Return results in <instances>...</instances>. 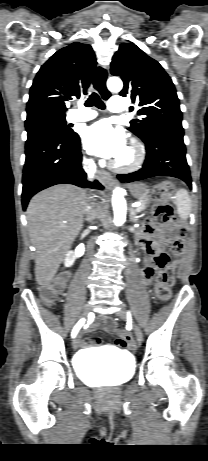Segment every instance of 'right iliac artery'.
<instances>
[{
	"label": "right iliac artery",
	"instance_id": "82829eb1",
	"mask_svg": "<svg viewBox=\"0 0 208 461\" xmlns=\"http://www.w3.org/2000/svg\"><path fill=\"white\" fill-rule=\"evenodd\" d=\"M84 322H85V319H81V320L75 325V327L73 328L72 333H71L72 338H74V337L77 335L78 331L80 330V328L82 327V325L84 324Z\"/></svg>",
	"mask_w": 208,
	"mask_h": 461
}]
</instances>
